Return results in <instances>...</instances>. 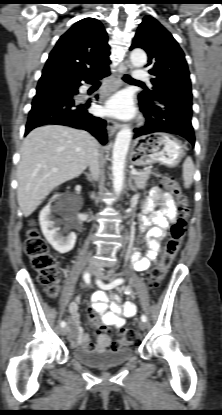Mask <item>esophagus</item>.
Here are the masks:
<instances>
[{
    "label": "esophagus",
    "mask_w": 222,
    "mask_h": 415,
    "mask_svg": "<svg viewBox=\"0 0 222 415\" xmlns=\"http://www.w3.org/2000/svg\"><path fill=\"white\" fill-rule=\"evenodd\" d=\"M129 69H131V65L129 62H125L122 70L120 71V74L125 73L126 71H128ZM122 124L113 120V119H108L107 120V133L108 136L111 137L116 131H118L121 128Z\"/></svg>",
    "instance_id": "esophagus-1"
}]
</instances>
